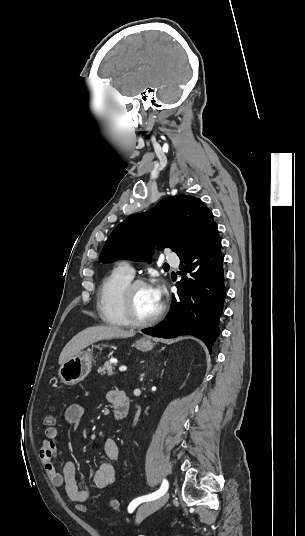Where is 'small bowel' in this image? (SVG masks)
I'll return each instance as SVG.
<instances>
[{"instance_id": "obj_1", "label": "small bowel", "mask_w": 305, "mask_h": 536, "mask_svg": "<svg viewBox=\"0 0 305 536\" xmlns=\"http://www.w3.org/2000/svg\"><path fill=\"white\" fill-rule=\"evenodd\" d=\"M115 391L107 393V400L112 402ZM86 415L85 407L80 403L70 405L65 411V419L68 423L75 426L79 425ZM58 429L54 426H49L45 430V439L42 441L39 456L43 464L44 470L48 475L51 483L55 487H64L67 497L73 501L74 497H79L80 500H87L89 492L86 489L79 487L76 480L77 464L74 461H67L62 470L59 471L54 463L57 455ZM100 449L109 461L102 462L93 476L94 484L99 488H106L112 485L116 479V469L113 462L119 458V448L112 438H105Z\"/></svg>"}]
</instances>
